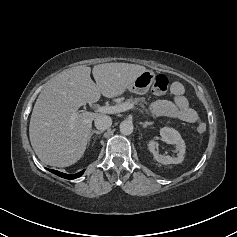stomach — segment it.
I'll list each match as a JSON object with an SVG mask.
<instances>
[{
  "label": "stomach",
  "instance_id": "obj_1",
  "mask_svg": "<svg viewBox=\"0 0 237 237\" xmlns=\"http://www.w3.org/2000/svg\"><path fill=\"white\" fill-rule=\"evenodd\" d=\"M154 76L155 74L152 71L146 70L138 75L127 89L139 95L146 94L152 85Z\"/></svg>",
  "mask_w": 237,
  "mask_h": 237
}]
</instances>
